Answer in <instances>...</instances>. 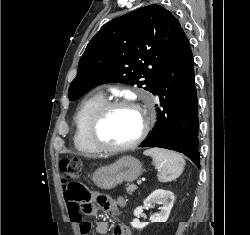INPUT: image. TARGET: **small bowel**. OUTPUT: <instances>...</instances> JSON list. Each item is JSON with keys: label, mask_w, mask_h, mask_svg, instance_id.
Here are the masks:
<instances>
[{"label": "small bowel", "mask_w": 250, "mask_h": 235, "mask_svg": "<svg viewBox=\"0 0 250 235\" xmlns=\"http://www.w3.org/2000/svg\"><path fill=\"white\" fill-rule=\"evenodd\" d=\"M65 201L68 214L71 220L78 224L81 235H88L91 224L90 222L84 220V215H90L93 213L92 208L89 211H83L77 209V203L72 201L65 191ZM99 205L110 215L117 216L120 212L122 206V200L113 198H103L99 201ZM75 217V218H74ZM95 229L100 234H105L108 230V224L105 221H99L96 223ZM113 235H132L131 230L122 224H118L114 228Z\"/></svg>", "instance_id": "obj_1"}]
</instances>
